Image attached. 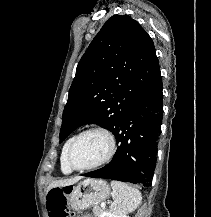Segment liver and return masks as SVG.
<instances>
[{
  "label": "liver",
  "mask_w": 211,
  "mask_h": 217,
  "mask_svg": "<svg viewBox=\"0 0 211 217\" xmlns=\"http://www.w3.org/2000/svg\"><path fill=\"white\" fill-rule=\"evenodd\" d=\"M82 177L80 176H76L74 178H70V179H64V180H58L55 181L53 183H51L48 186V190L52 189V188H56V187H64V186H70L75 184L76 182H78Z\"/></svg>",
  "instance_id": "obj_1"
}]
</instances>
